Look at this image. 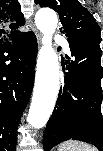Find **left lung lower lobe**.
I'll list each match as a JSON object with an SVG mask.
<instances>
[{"label": "left lung lower lobe", "mask_w": 103, "mask_h": 151, "mask_svg": "<svg viewBox=\"0 0 103 151\" xmlns=\"http://www.w3.org/2000/svg\"><path fill=\"white\" fill-rule=\"evenodd\" d=\"M69 46L73 60L66 61L68 72L45 129L44 150L75 139L103 151L101 48L96 43L73 42Z\"/></svg>", "instance_id": "0a47b994"}]
</instances>
